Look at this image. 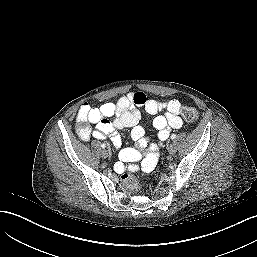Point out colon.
<instances>
[{
  "instance_id": "5ec220e1",
  "label": "colon",
  "mask_w": 257,
  "mask_h": 257,
  "mask_svg": "<svg viewBox=\"0 0 257 257\" xmlns=\"http://www.w3.org/2000/svg\"><path fill=\"white\" fill-rule=\"evenodd\" d=\"M84 105L85 104H83L82 106ZM82 113L83 115H86L87 111L83 110ZM182 117L187 123H194L199 118V112L194 107L186 106L182 109ZM123 182L125 187L132 193H139L143 188V184L138 182L133 176L129 174L124 175Z\"/></svg>"
}]
</instances>
